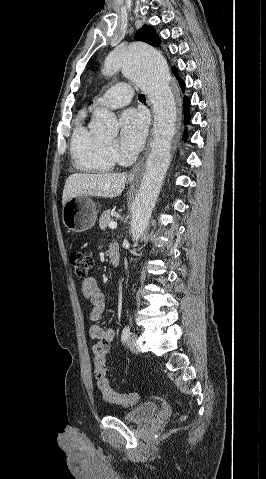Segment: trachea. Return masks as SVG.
Returning <instances> with one entry per match:
<instances>
[{"instance_id":"3493384b","label":"trachea","mask_w":266,"mask_h":479,"mask_svg":"<svg viewBox=\"0 0 266 479\" xmlns=\"http://www.w3.org/2000/svg\"><path fill=\"white\" fill-rule=\"evenodd\" d=\"M138 98H139V100H145V96H144L143 94H140V95L138 96Z\"/></svg>"}]
</instances>
